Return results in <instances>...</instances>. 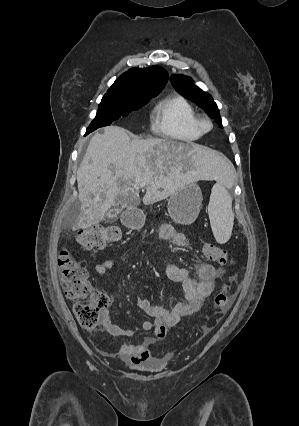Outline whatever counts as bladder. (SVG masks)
Instances as JSON below:
<instances>
[{
    "instance_id": "1",
    "label": "bladder",
    "mask_w": 299,
    "mask_h": 426,
    "mask_svg": "<svg viewBox=\"0 0 299 426\" xmlns=\"http://www.w3.org/2000/svg\"><path fill=\"white\" fill-rule=\"evenodd\" d=\"M161 361L155 359L147 362L135 364L133 369L144 372H155L161 369Z\"/></svg>"
}]
</instances>
